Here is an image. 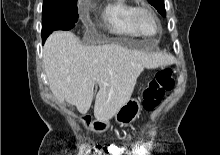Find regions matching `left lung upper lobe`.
<instances>
[{
  "mask_svg": "<svg viewBox=\"0 0 220 155\" xmlns=\"http://www.w3.org/2000/svg\"><path fill=\"white\" fill-rule=\"evenodd\" d=\"M148 2L154 6L157 11L163 16H166L165 6L163 0H148Z\"/></svg>",
  "mask_w": 220,
  "mask_h": 155,
  "instance_id": "5c2ea615",
  "label": "left lung upper lobe"
}]
</instances>
